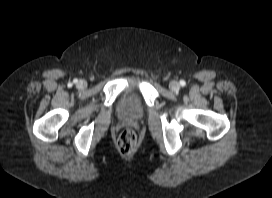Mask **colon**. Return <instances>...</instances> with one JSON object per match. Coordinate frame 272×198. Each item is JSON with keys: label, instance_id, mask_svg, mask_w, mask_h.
Returning <instances> with one entry per match:
<instances>
[{"label": "colon", "instance_id": "1", "mask_svg": "<svg viewBox=\"0 0 272 198\" xmlns=\"http://www.w3.org/2000/svg\"><path fill=\"white\" fill-rule=\"evenodd\" d=\"M117 146L123 154L132 153L137 146V135L135 131L130 127L122 130L117 139Z\"/></svg>", "mask_w": 272, "mask_h": 198}]
</instances>
